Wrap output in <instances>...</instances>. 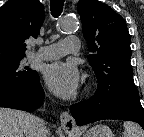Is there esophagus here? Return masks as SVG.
Masks as SVG:
<instances>
[{
  "label": "esophagus",
  "instance_id": "1",
  "mask_svg": "<svg viewBox=\"0 0 144 137\" xmlns=\"http://www.w3.org/2000/svg\"><path fill=\"white\" fill-rule=\"evenodd\" d=\"M60 122L62 129L67 133H71L76 129V122L68 111L61 113Z\"/></svg>",
  "mask_w": 144,
  "mask_h": 137
}]
</instances>
